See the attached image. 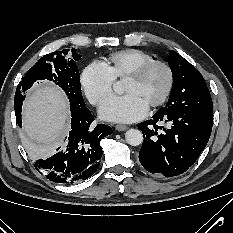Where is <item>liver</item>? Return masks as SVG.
Returning <instances> with one entry per match:
<instances>
[{"label":"liver","instance_id":"6515ba94","mask_svg":"<svg viewBox=\"0 0 233 233\" xmlns=\"http://www.w3.org/2000/svg\"><path fill=\"white\" fill-rule=\"evenodd\" d=\"M68 102L57 87L46 85L35 88L23 106V124L28 137L35 142L28 149L33 159L47 154L51 145L68 132ZM31 151H35L32 153Z\"/></svg>","mask_w":233,"mask_h":233}]
</instances>
